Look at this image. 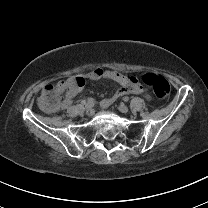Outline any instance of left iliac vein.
<instances>
[{
  "mask_svg": "<svg viewBox=\"0 0 208 208\" xmlns=\"http://www.w3.org/2000/svg\"><path fill=\"white\" fill-rule=\"evenodd\" d=\"M118 109H119V111H121L122 113H127V112L129 111V108H128L126 105H124V104H120V105L118 106Z\"/></svg>",
  "mask_w": 208,
  "mask_h": 208,
  "instance_id": "left-iliac-vein-1",
  "label": "left iliac vein"
}]
</instances>
